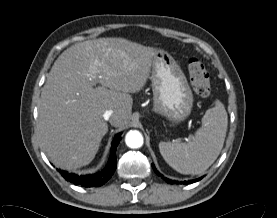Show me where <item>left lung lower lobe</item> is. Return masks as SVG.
<instances>
[{"label": "left lung lower lobe", "mask_w": 277, "mask_h": 218, "mask_svg": "<svg viewBox=\"0 0 277 218\" xmlns=\"http://www.w3.org/2000/svg\"><path fill=\"white\" fill-rule=\"evenodd\" d=\"M152 167H153V169H154V171H155L156 174L161 175V174L156 170L154 164H152ZM161 177L164 178L162 175H161ZM164 179L166 180V182L171 183V184L179 183L178 181H175V180H170V179H167V178H164ZM201 179H202V177H200V178H198V179H195V180L184 181V182H181V183H183V184H189V183H194V182H196V181H199V180H201Z\"/></svg>", "instance_id": "obj_1"}]
</instances>
